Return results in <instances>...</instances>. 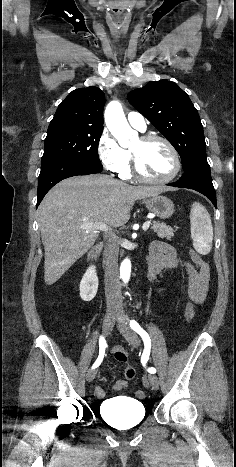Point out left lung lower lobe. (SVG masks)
<instances>
[{"mask_svg": "<svg viewBox=\"0 0 236 467\" xmlns=\"http://www.w3.org/2000/svg\"><path fill=\"white\" fill-rule=\"evenodd\" d=\"M169 186L196 190L211 200L216 207V192L212 184L210 166L207 160L199 161L184 170L182 177Z\"/></svg>", "mask_w": 236, "mask_h": 467, "instance_id": "obj_1", "label": "left lung lower lobe"}]
</instances>
